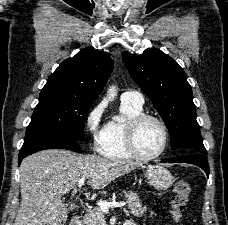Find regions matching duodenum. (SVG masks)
<instances>
[{
  "label": "duodenum",
  "mask_w": 228,
  "mask_h": 225,
  "mask_svg": "<svg viewBox=\"0 0 228 225\" xmlns=\"http://www.w3.org/2000/svg\"><path fill=\"white\" fill-rule=\"evenodd\" d=\"M81 214L77 211L71 218L69 225H81ZM124 225H135L132 220H127Z\"/></svg>",
  "instance_id": "obj_1"
}]
</instances>
